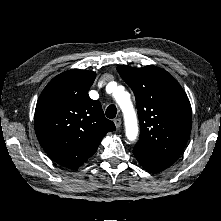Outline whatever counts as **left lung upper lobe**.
<instances>
[{"instance_id": "left-lung-upper-lobe-1", "label": "left lung upper lobe", "mask_w": 221, "mask_h": 221, "mask_svg": "<svg viewBox=\"0 0 221 221\" xmlns=\"http://www.w3.org/2000/svg\"><path fill=\"white\" fill-rule=\"evenodd\" d=\"M117 70L137 102L140 137L134 149L175 162L191 132V105L186 93L159 67L120 65Z\"/></svg>"}]
</instances>
